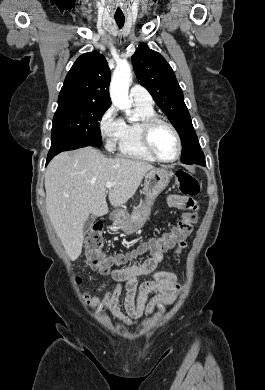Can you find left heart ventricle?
I'll return each instance as SVG.
<instances>
[{
	"label": "left heart ventricle",
	"mask_w": 265,
	"mask_h": 390,
	"mask_svg": "<svg viewBox=\"0 0 265 390\" xmlns=\"http://www.w3.org/2000/svg\"><path fill=\"white\" fill-rule=\"evenodd\" d=\"M152 144L156 152L164 159H172L177 152V143L172 131L158 124L152 131Z\"/></svg>",
	"instance_id": "obj_1"
}]
</instances>
